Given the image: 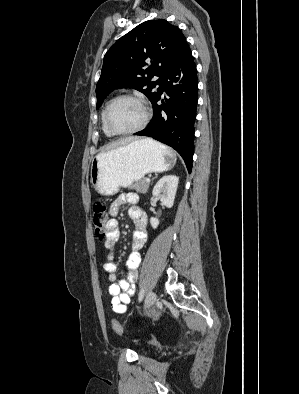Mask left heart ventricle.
Here are the masks:
<instances>
[{
    "label": "left heart ventricle",
    "instance_id": "1",
    "mask_svg": "<svg viewBox=\"0 0 299 394\" xmlns=\"http://www.w3.org/2000/svg\"><path fill=\"white\" fill-rule=\"evenodd\" d=\"M143 116V109L138 102L122 99L112 107L109 122L116 131H127L138 126L143 120Z\"/></svg>",
    "mask_w": 299,
    "mask_h": 394
}]
</instances>
